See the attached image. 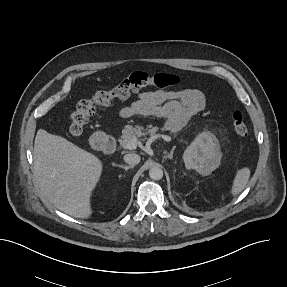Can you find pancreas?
Returning <instances> with one entry per match:
<instances>
[{"instance_id": "obj_1", "label": "pancreas", "mask_w": 287, "mask_h": 287, "mask_svg": "<svg viewBox=\"0 0 287 287\" xmlns=\"http://www.w3.org/2000/svg\"><path fill=\"white\" fill-rule=\"evenodd\" d=\"M158 130H159L158 127H152L150 129H145L143 126H140V125H135V126L127 125L122 131V136H121V139L119 140L120 145L122 147H125L128 141H130L131 139L144 137L148 134L150 136H155ZM162 130L164 129L162 128Z\"/></svg>"}]
</instances>
